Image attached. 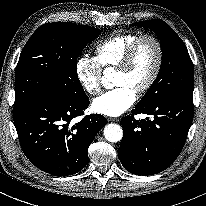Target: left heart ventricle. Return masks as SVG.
<instances>
[{"instance_id":"1","label":"left heart ventricle","mask_w":206,"mask_h":206,"mask_svg":"<svg viewBox=\"0 0 206 206\" xmlns=\"http://www.w3.org/2000/svg\"><path fill=\"white\" fill-rule=\"evenodd\" d=\"M157 59V50L151 40H144L136 53L134 61L127 72H117V87L127 86L135 92L143 86L153 72Z\"/></svg>"}]
</instances>
